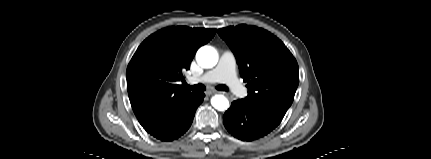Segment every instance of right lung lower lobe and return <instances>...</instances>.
<instances>
[{"label":"right lung lower lobe","instance_id":"1","mask_svg":"<svg viewBox=\"0 0 431 159\" xmlns=\"http://www.w3.org/2000/svg\"><path fill=\"white\" fill-rule=\"evenodd\" d=\"M204 96L202 93L187 97L158 125L147 132L161 141H172L179 138L191 126L195 111L203 102Z\"/></svg>","mask_w":431,"mask_h":159}]
</instances>
